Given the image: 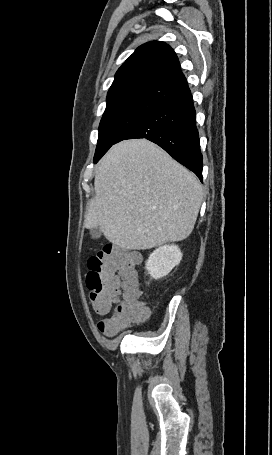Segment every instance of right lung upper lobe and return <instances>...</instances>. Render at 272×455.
<instances>
[{
  "mask_svg": "<svg viewBox=\"0 0 272 455\" xmlns=\"http://www.w3.org/2000/svg\"><path fill=\"white\" fill-rule=\"evenodd\" d=\"M188 90L173 49L164 42L152 41L138 47L118 69L107 94V104L130 98L165 103Z\"/></svg>",
  "mask_w": 272,
  "mask_h": 455,
  "instance_id": "cb5924a9",
  "label": "right lung upper lobe"
}]
</instances>
